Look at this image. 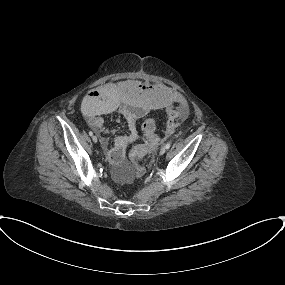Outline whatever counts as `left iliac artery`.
Segmentation results:
<instances>
[{"label": "left iliac artery", "instance_id": "44dca946", "mask_svg": "<svg viewBox=\"0 0 285 285\" xmlns=\"http://www.w3.org/2000/svg\"><path fill=\"white\" fill-rule=\"evenodd\" d=\"M165 146H166L167 149H169L170 146H171V142H167V144Z\"/></svg>", "mask_w": 285, "mask_h": 285}]
</instances>
